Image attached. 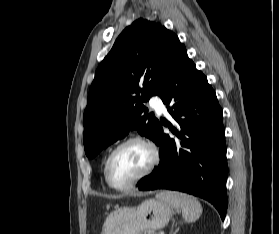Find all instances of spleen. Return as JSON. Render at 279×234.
Returning <instances> with one entry per match:
<instances>
[{
	"label": "spleen",
	"mask_w": 279,
	"mask_h": 234,
	"mask_svg": "<svg viewBox=\"0 0 279 234\" xmlns=\"http://www.w3.org/2000/svg\"><path fill=\"white\" fill-rule=\"evenodd\" d=\"M157 198L175 208L181 209L182 216L186 222H194L202 214L200 202L191 195L180 192L163 191L157 195Z\"/></svg>",
	"instance_id": "1"
}]
</instances>
